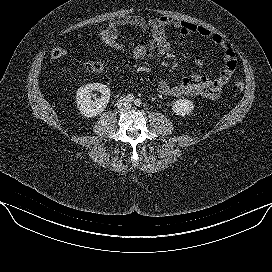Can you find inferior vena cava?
<instances>
[{"label":"inferior vena cava","instance_id":"1","mask_svg":"<svg viewBox=\"0 0 272 272\" xmlns=\"http://www.w3.org/2000/svg\"><path fill=\"white\" fill-rule=\"evenodd\" d=\"M117 108L120 110L128 111L131 109V102L128 98H120L117 101Z\"/></svg>","mask_w":272,"mask_h":272}]
</instances>
